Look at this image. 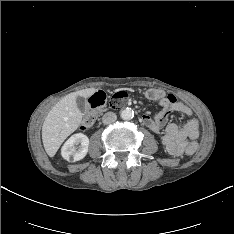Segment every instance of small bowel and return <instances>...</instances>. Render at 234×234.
Listing matches in <instances>:
<instances>
[{"instance_id":"c3829d8e","label":"small bowel","mask_w":234,"mask_h":234,"mask_svg":"<svg viewBox=\"0 0 234 234\" xmlns=\"http://www.w3.org/2000/svg\"><path fill=\"white\" fill-rule=\"evenodd\" d=\"M161 110L152 118L149 114L142 116L143 123L153 132L159 133L164 127L170 112L174 111L184 116H191L192 110L173 94L165 95L159 100ZM199 137V124L196 119H189L181 127L170 123L165 127L162 142L171 155L178 156L185 148L193 144Z\"/></svg>"}]
</instances>
